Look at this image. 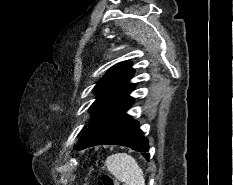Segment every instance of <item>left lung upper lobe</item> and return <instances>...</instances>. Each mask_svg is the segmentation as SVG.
Listing matches in <instances>:
<instances>
[{
	"label": "left lung upper lobe",
	"instance_id": "5c2ea615",
	"mask_svg": "<svg viewBox=\"0 0 233 185\" xmlns=\"http://www.w3.org/2000/svg\"><path fill=\"white\" fill-rule=\"evenodd\" d=\"M134 70L128 61L120 62L107 72V74L94 87L97 94L96 101L91 105V121L89 126L94 125L108 110L109 106L122 94L135 84L129 83Z\"/></svg>",
	"mask_w": 233,
	"mask_h": 185
}]
</instances>
